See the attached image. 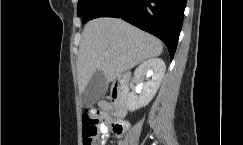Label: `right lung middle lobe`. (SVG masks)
I'll return each instance as SVG.
<instances>
[{
	"label": "right lung middle lobe",
	"mask_w": 243,
	"mask_h": 145,
	"mask_svg": "<svg viewBox=\"0 0 243 145\" xmlns=\"http://www.w3.org/2000/svg\"><path fill=\"white\" fill-rule=\"evenodd\" d=\"M95 0H79L77 6V15L82 16L86 9L94 2Z\"/></svg>",
	"instance_id": "dd1d6c3e"
}]
</instances>
